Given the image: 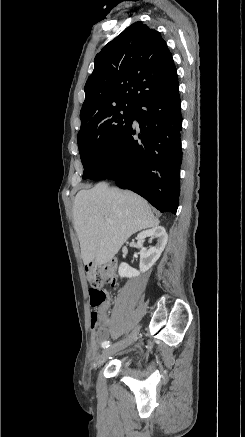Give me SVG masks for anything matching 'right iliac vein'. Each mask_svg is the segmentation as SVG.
<instances>
[{"instance_id": "63e3f726", "label": "right iliac vein", "mask_w": 245, "mask_h": 437, "mask_svg": "<svg viewBox=\"0 0 245 437\" xmlns=\"http://www.w3.org/2000/svg\"><path fill=\"white\" fill-rule=\"evenodd\" d=\"M138 332H139V327L137 326L126 339L104 349V351L102 352L99 363L105 361L110 355H112L120 350H123V349L127 348L129 345H131L135 341V339L137 338Z\"/></svg>"}]
</instances>
